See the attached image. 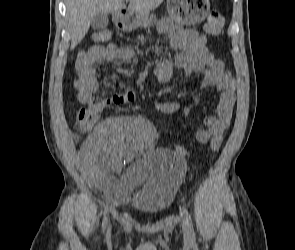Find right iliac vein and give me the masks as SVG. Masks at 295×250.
<instances>
[{"instance_id": "obj_1", "label": "right iliac vein", "mask_w": 295, "mask_h": 250, "mask_svg": "<svg viewBox=\"0 0 295 250\" xmlns=\"http://www.w3.org/2000/svg\"><path fill=\"white\" fill-rule=\"evenodd\" d=\"M110 227L108 228V230H107V235L109 236L110 235Z\"/></svg>"}]
</instances>
